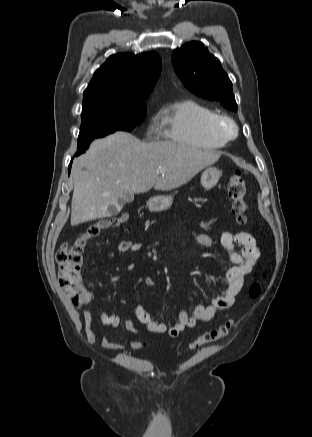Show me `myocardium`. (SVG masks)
<instances>
[{
  "instance_id": "myocardium-1",
  "label": "myocardium",
  "mask_w": 312,
  "mask_h": 437,
  "mask_svg": "<svg viewBox=\"0 0 312 437\" xmlns=\"http://www.w3.org/2000/svg\"><path fill=\"white\" fill-rule=\"evenodd\" d=\"M209 128L214 135L225 141L234 139L238 134V126L235 120L223 113H216L212 116Z\"/></svg>"
}]
</instances>
